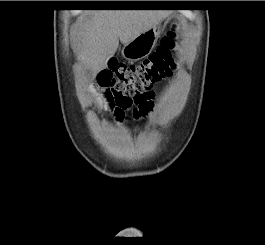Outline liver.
Wrapping results in <instances>:
<instances>
[{"label": "liver", "instance_id": "6515ba94", "mask_svg": "<svg viewBox=\"0 0 265 245\" xmlns=\"http://www.w3.org/2000/svg\"><path fill=\"white\" fill-rule=\"evenodd\" d=\"M167 12L158 10H89L80 24L81 52L78 59L98 72L107 67L119 46L158 24Z\"/></svg>", "mask_w": 265, "mask_h": 245}]
</instances>
